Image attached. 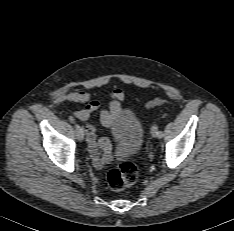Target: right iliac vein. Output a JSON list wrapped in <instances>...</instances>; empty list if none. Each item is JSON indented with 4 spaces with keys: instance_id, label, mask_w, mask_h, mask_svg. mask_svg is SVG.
<instances>
[{
    "instance_id": "1",
    "label": "right iliac vein",
    "mask_w": 234,
    "mask_h": 231,
    "mask_svg": "<svg viewBox=\"0 0 234 231\" xmlns=\"http://www.w3.org/2000/svg\"><path fill=\"white\" fill-rule=\"evenodd\" d=\"M77 139L82 141L84 139V132L82 131L80 134H77Z\"/></svg>"
}]
</instances>
